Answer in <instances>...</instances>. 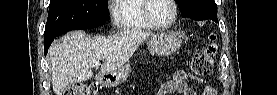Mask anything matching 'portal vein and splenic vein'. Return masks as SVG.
I'll return each instance as SVG.
<instances>
[{"label":"portal vein and splenic vein","mask_w":277,"mask_h":95,"mask_svg":"<svg viewBox=\"0 0 277 95\" xmlns=\"http://www.w3.org/2000/svg\"><path fill=\"white\" fill-rule=\"evenodd\" d=\"M96 65H97V66L100 65V62H97Z\"/></svg>","instance_id":"obj_1"}]
</instances>
